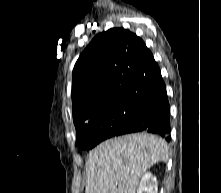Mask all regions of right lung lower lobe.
<instances>
[{
	"label": "right lung lower lobe",
	"mask_w": 221,
	"mask_h": 193,
	"mask_svg": "<svg viewBox=\"0 0 221 193\" xmlns=\"http://www.w3.org/2000/svg\"><path fill=\"white\" fill-rule=\"evenodd\" d=\"M134 132L155 133L170 141V110L162 77L145 99L144 111L132 123L119 129L114 136Z\"/></svg>",
	"instance_id": "obj_1"
}]
</instances>
